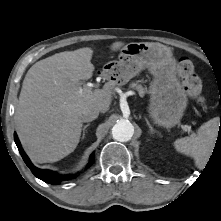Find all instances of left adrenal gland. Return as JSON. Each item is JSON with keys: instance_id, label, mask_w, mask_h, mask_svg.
Segmentation results:
<instances>
[{"instance_id": "1", "label": "left adrenal gland", "mask_w": 221, "mask_h": 221, "mask_svg": "<svg viewBox=\"0 0 221 221\" xmlns=\"http://www.w3.org/2000/svg\"><path fill=\"white\" fill-rule=\"evenodd\" d=\"M146 120V123H147V125H148V127H149V129H150V132H151V134H159V132L158 131H156L152 126H151V124L149 123V121H148V119H145ZM160 135V134H159Z\"/></svg>"}]
</instances>
